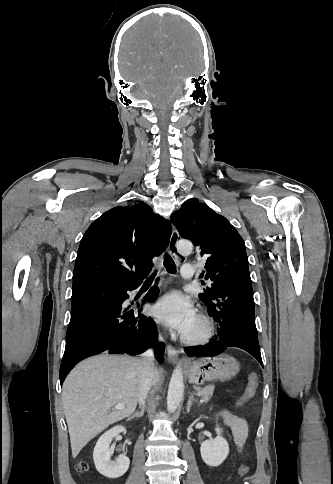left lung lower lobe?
I'll return each mask as SVG.
<instances>
[{
	"instance_id": "0a47b994",
	"label": "left lung lower lobe",
	"mask_w": 333,
	"mask_h": 484,
	"mask_svg": "<svg viewBox=\"0 0 333 484\" xmlns=\"http://www.w3.org/2000/svg\"><path fill=\"white\" fill-rule=\"evenodd\" d=\"M216 282V298L219 300L208 305L207 311L218 323L219 335L205 346L186 350V354L190 357H211L223 353L228 347H238L253 355L263 366L248 264L223 269Z\"/></svg>"
}]
</instances>
